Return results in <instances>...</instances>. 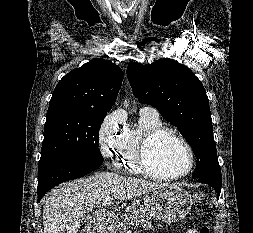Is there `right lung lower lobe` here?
<instances>
[{"instance_id": "right-lung-lower-lobe-1", "label": "right lung lower lobe", "mask_w": 253, "mask_h": 233, "mask_svg": "<svg viewBox=\"0 0 253 233\" xmlns=\"http://www.w3.org/2000/svg\"><path fill=\"white\" fill-rule=\"evenodd\" d=\"M103 162V161H102ZM102 162L73 158H52L39 164L38 201L56 185L82 177L97 169Z\"/></svg>"}]
</instances>
